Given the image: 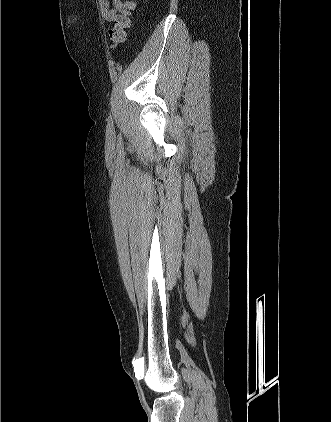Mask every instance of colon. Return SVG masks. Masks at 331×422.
Returning <instances> with one entry per match:
<instances>
[{"instance_id": "obj_1", "label": "colon", "mask_w": 331, "mask_h": 422, "mask_svg": "<svg viewBox=\"0 0 331 422\" xmlns=\"http://www.w3.org/2000/svg\"><path fill=\"white\" fill-rule=\"evenodd\" d=\"M123 9L115 17V24L108 30V39L112 48H119L126 40V29L130 26V16L135 8L132 0H122Z\"/></svg>"}]
</instances>
